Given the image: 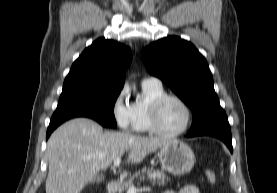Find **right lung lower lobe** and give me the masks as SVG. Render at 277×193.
I'll list each match as a JSON object with an SVG mask.
<instances>
[{"mask_svg": "<svg viewBox=\"0 0 277 193\" xmlns=\"http://www.w3.org/2000/svg\"><path fill=\"white\" fill-rule=\"evenodd\" d=\"M75 117H88L80 114H72V113H55L53 114L49 127L47 129L46 139L50 136V134L56 129L60 124L65 122L68 119L75 118ZM90 118V117H89ZM102 124V123H100ZM103 126H106L102 124ZM107 127V126H106Z\"/></svg>", "mask_w": 277, "mask_h": 193, "instance_id": "98d812e1", "label": "right lung lower lobe"}]
</instances>
